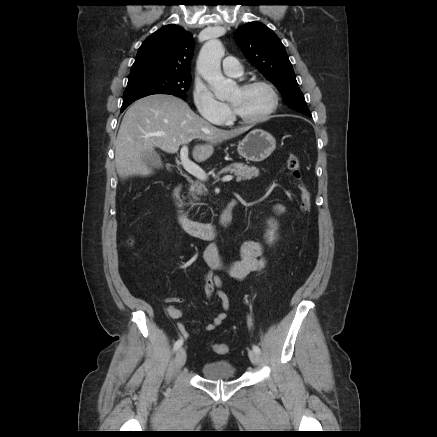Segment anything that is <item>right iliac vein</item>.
Listing matches in <instances>:
<instances>
[{"label": "right iliac vein", "mask_w": 437, "mask_h": 437, "mask_svg": "<svg viewBox=\"0 0 437 437\" xmlns=\"http://www.w3.org/2000/svg\"><path fill=\"white\" fill-rule=\"evenodd\" d=\"M186 359H187V354H186L185 349L180 348V349L177 351L176 358H175V365H176V368H181V367H183L184 364H185V362H186Z\"/></svg>", "instance_id": "obj_1"}]
</instances>
